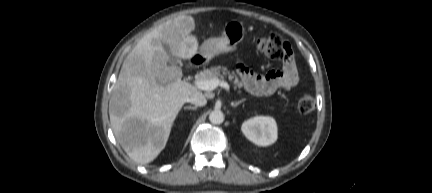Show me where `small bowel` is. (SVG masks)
<instances>
[{"instance_id":"obj_1","label":"small bowel","mask_w":432,"mask_h":193,"mask_svg":"<svg viewBox=\"0 0 432 193\" xmlns=\"http://www.w3.org/2000/svg\"><path fill=\"white\" fill-rule=\"evenodd\" d=\"M237 70L245 89L260 96H268L278 90H290L299 81L292 57L284 60L282 70H273L265 75H259L244 65H238Z\"/></svg>"}]
</instances>
